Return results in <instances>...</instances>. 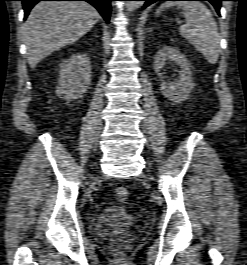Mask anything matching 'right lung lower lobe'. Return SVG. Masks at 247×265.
<instances>
[{"instance_id":"1","label":"right lung lower lobe","mask_w":247,"mask_h":265,"mask_svg":"<svg viewBox=\"0 0 247 265\" xmlns=\"http://www.w3.org/2000/svg\"><path fill=\"white\" fill-rule=\"evenodd\" d=\"M25 12L24 18L26 19L32 7L40 1H87L92 4L103 16L108 23L110 18L111 7L110 3L114 0H21Z\"/></svg>"}]
</instances>
